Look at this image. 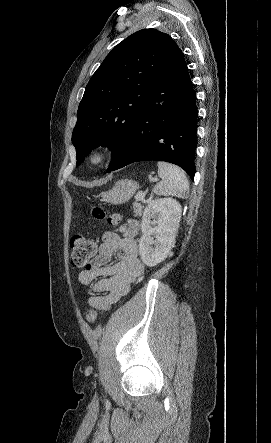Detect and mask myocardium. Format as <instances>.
<instances>
[{"mask_svg":"<svg viewBox=\"0 0 271 443\" xmlns=\"http://www.w3.org/2000/svg\"><path fill=\"white\" fill-rule=\"evenodd\" d=\"M114 154L113 146L107 141L92 144L84 155V164L89 169H99L107 165Z\"/></svg>","mask_w":271,"mask_h":443,"instance_id":"1","label":"myocardium"}]
</instances>
